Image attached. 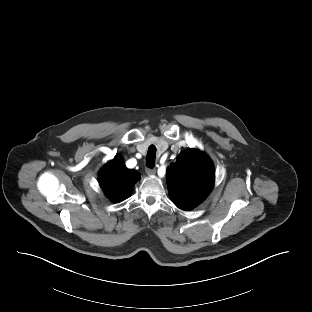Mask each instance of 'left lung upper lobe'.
Wrapping results in <instances>:
<instances>
[{
    "label": "left lung upper lobe",
    "instance_id": "1",
    "mask_svg": "<svg viewBox=\"0 0 312 312\" xmlns=\"http://www.w3.org/2000/svg\"><path fill=\"white\" fill-rule=\"evenodd\" d=\"M211 160L197 149L178 155L167 169L168 192L173 203L183 210L199 205L209 194L214 183Z\"/></svg>",
    "mask_w": 312,
    "mask_h": 312
}]
</instances>
